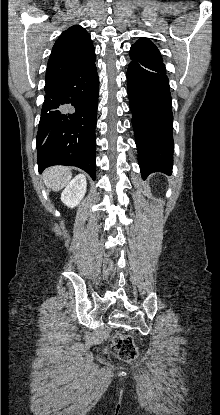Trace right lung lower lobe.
<instances>
[{"label": "right lung lower lobe", "mask_w": 220, "mask_h": 415, "mask_svg": "<svg viewBox=\"0 0 220 415\" xmlns=\"http://www.w3.org/2000/svg\"><path fill=\"white\" fill-rule=\"evenodd\" d=\"M98 95L95 62L46 81L36 139L40 173L52 165H69L95 180Z\"/></svg>", "instance_id": "obj_1"}]
</instances>
